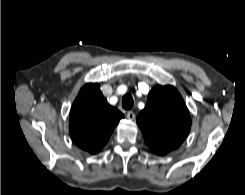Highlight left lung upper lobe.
<instances>
[{"instance_id":"1","label":"left lung upper lobe","mask_w":245,"mask_h":195,"mask_svg":"<svg viewBox=\"0 0 245 195\" xmlns=\"http://www.w3.org/2000/svg\"><path fill=\"white\" fill-rule=\"evenodd\" d=\"M144 140L157 155L178 148L191 128L189 111L179 92L171 85L155 86L145 108L137 116Z\"/></svg>"}]
</instances>
